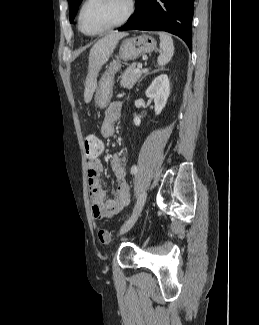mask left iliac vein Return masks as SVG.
Wrapping results in <instances>:
<instances>
[{
    "label": "left iliac vein",
    "mask_w": 259,
    "mask_h": 325,
    "mask_svg": "<svg viewBox=\"0 0 259 325\" xmlns=\"http://www.w3.org/2000/svg\"><path fill=\"white\" fill-rule=\"evenodd\" d=\"M146 199H147V194H146V192H143L139 196V198H138V200H137V202L135 204V207H134V210H133V213H132L131 217L121 227L120 232H119L120 235H122V234L126 233L127 231H129L132 228V226L135 224V222L138 219V216L140 215V213H141V211H142V209L144 207Z\"/></svg>",
    "instance_id": "4c4485c4"
}]
</instances>
